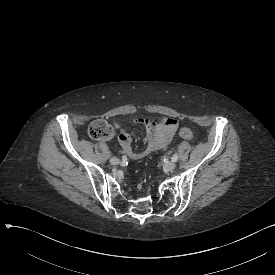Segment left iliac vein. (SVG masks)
I'll return each instance as SVG.
<instances>
[{
    "label": "left iliac vein",
    "mask_w": 275,
    "mask_h": 275,
    "mask_svg": "<svg viewBox=\"0 0 275 275\" xmlns=\"http://www.w3.org/2000/svg\"><path fill=\"white\" fill-rule=\"evenodd\" d=\"M175 167H176L175 162L174 161H170V162H168V163H166L164 165V170L167 171V172H170V171L174 170Z\"/></svg>",
    "instance_id": "4c4485c4"
}]
</instances>
